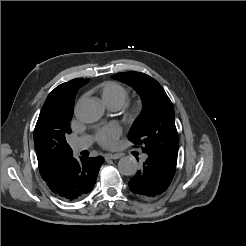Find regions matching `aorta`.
I'll use <instances>...</instances> for the list:
<instances>
[{"mask_svg":"<svg viewBox=\"0 0 246 246\" xmlns=\"http://www.w3.org/2000/svg\"><path fill=\"white\" fill-rule=\"evenodd\" d=\"M102 113V105L100 101L95 98L82 99L75 106V116L83 123L98 121ZM118 170L125 176L134 175L138 170L137 161L131 156L122 157L118 162Z\"/></svg>","mask_w":246,"mask_h":246,"instance_id":"762f6f07","label":"aorta"}]
</instances>
